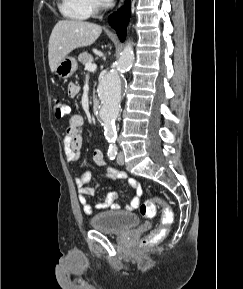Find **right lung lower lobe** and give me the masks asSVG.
Masks as SVG:
<instances>
[{
    "label": "right lung lower lobe",
    "instance_id": "obj_1",
    "mask_svg": "<svg viewBox=\"0 0 243 289\" xmlns=\"http://www.w3.org/2000/svg\"><path fill=\"white\" fill-rule=\"evenodd\" d=\"M130 17V3L126 1L125 6L122 10L109 16L108 20L110 25L117 30L118 36L121 41L125 40L126 37V25L128 24Z\"/></svg>",
    "mask_w": 243,
    "mask_h": 289
}]
</instances>
